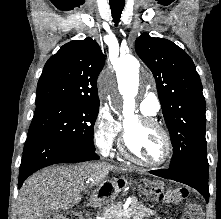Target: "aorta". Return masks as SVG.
Instances as JSON below:
<instances>
[{"instance_id": "aorta-1", "label": "aorta", "mask_w": 221, "mask_h": 219, "mask_svg": "<svg viewBox=\"0 0 221 219\" xmlns=\"http://www.w3.org/2000/svg\"><path fill=\"white\" fill-rule=\"evenodd\" d=\"M117 77L119 79V90L123 94V114L125 117H132L134 115V96L137 93V85L135 79L139 71V62L135 57H125L119 60L115 65ZM122 77V83L120 80ZM128 81H133V85L130 88L126 87ZM102 92L105 96H108L111 101L115 98L114 83L109 75H105L102 78Z\"/></svg>"}]
</instances>
